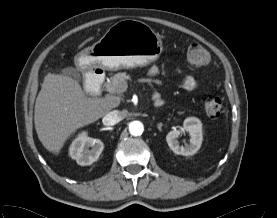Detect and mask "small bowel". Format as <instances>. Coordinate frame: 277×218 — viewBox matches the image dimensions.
Segmentation results:
<instances>
[{"mask_svg": "<svg viewBox=\"0 0 277 218\" xmlns=\"http://www.w3.org/2000/svg\"><path fill=\"white\" fill-rule=\"evenodd\" d=\"M158 70L159 69L157 67H153L151 69V73H150L151 77L155 76L158 73ZM168 72H169V74L171 76L177 78L179 83H180V85L184 89H186V90L192 91L198 85L197 80L193 76H191V75H184V74H182L181 70H179L177 68H170L168 70ZM155 98H159L160 99L159 94H157V93L154 94V102H155ZM160 103H161V99H160ZM155 105L158 106L160 104H156L155 103Z\"/></svg>", "mask_w": 277, "mask_h": 218, "instance_id": "obj_1", "label": "small bowel"}]
</instances>
